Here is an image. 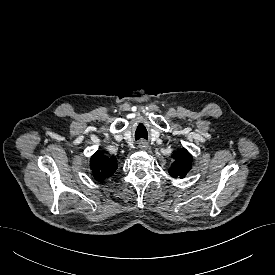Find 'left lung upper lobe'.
Masks as SVG:
<instances>
[{
    "mask_svg": "<svg viewBox=\"0 0 275 275\" xmlns=\"http://www.w3.org/2000/svg\"><path fill=\"white\" fill-rule=\"evenodd\" d=\"M175 161L169 169V173L174 178H183L191 169L192 165V156L185 149L182 148L174 154Z\"/></svg>",
    "mask_w": 275,
    "mask_h": 275,
    "instance_id": "1",
    "label": "left lung upper lobe"
}]
</instances>
